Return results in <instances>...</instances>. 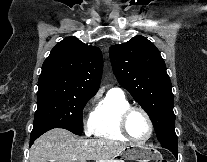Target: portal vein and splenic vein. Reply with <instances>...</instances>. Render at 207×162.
Instances as JSON below:
<instances>
[{"label":"portal vein and splenic vein","mask_w":207,"mask_h":162,"mask_svg":"<svg viewBox=\"0 0 207 162\" xmlns=\"http://www.w3.org/2000/svg\"><path fill=\"white\" fill-rule=\"evenodd\" d=\"M96 162H106V161H96Z\"/></svg>","instance_id":"18ae733b"}]
</instances>
